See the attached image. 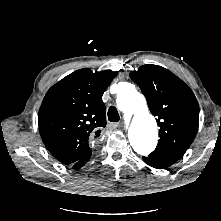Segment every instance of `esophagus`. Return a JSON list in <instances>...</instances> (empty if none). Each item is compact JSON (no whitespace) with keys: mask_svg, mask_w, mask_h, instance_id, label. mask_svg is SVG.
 Wrapping results in <instances>:
<instances>
[{"mask_svg":"<svg viewBox=\"0 0 221 221\" xmlns=\"http://www.w3.org/2000/svg\"><path fill=\"white\" fill-rule=\"evenodd\" d=\"M123 125L122 122H117V123H111L110 126L113 127V128H118V127H121Z\"/></svg>","mask_w":221,"mask_h":221,"instance_id":"1","label":"esophagus"}]
</instances>
